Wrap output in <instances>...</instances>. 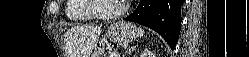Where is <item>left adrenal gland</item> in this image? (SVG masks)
I'll list each match as a JSON object with an SVG mask.
<instances>
[{"label": "left adrenal gland", "instance_id": "left-adrenal-gland-1", "mask_svg": "<svg viewBox=\"0 0 249 57\" xmlns=\"http://www.w3.org/2000/svg\"><path fill=\"white\" fill-rule=\"evenodd\" d=\"M135 48H136V46L135 47H131L128 51H126L125 55L133 52L135 50ZM125 55H123V56H125Z\"/></svg>", "mask_w": 249, "mask_h": 57}]
</instances>
